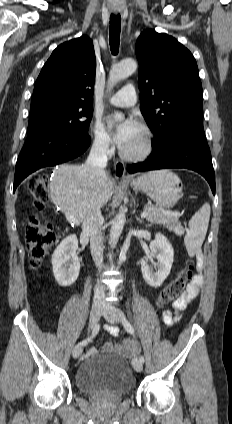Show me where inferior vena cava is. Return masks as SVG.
<instances>
[{"label": "inferior vena cava", "instance_id": "1", "mask_svg": "<svg viewBox=\"0 0 232 424\" xmlns=\"http://www.w3.org/2000/svg\"><path fill=\"white\" fill-rule=\"evenodd\" d=\"M107 149L108 141L96 140L91 148L87 161L85 163V171L91 177L94 185H101L106 180L105 167L107 165ZM94 195H97L94 192ZM103 217L101 215L100 205L96 202L95 208L85 217L82 221L83 234L90 237V249L93 260L96 266L101 269L103 262V237L101 233V226ZM104 287L97 282L94 288L93 302L101 303L105 293Z\"/></svg>", "mask_w": 232, "mask_h": 424}]
</instances>
